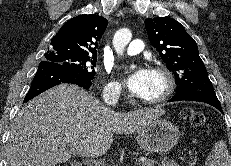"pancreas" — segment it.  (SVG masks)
<instances>
[{
  "mask_svg": "<svg viewBox=\"0 0 231 166\" xmlns=\"http://www.w3.org/2000/svg\"><path fill=\"white\" fill-rule=\"evenodd\" d=\"M155 164H158V166H179L177 163H175L173 160H168L167 158L159 160H148L145 163H142V166H154ZM192 166V165H190Z\"/></svg>",
  "mask_w": 231,
  "mask_h": 166,
  "instance_id": "cf45deb5",
  "label": "pancreas"
}]
</instances>
